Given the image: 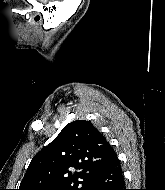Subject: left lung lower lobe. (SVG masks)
I'll return each instance as SVG.
<instances>
[{
  "mask_svg": "<svg viewBox=\"0 0 165 190\" xmlns=\"http://www.w3.org/2000/svg\"><path fill=\"white\" fill-rule=\"evenodd\" d=\"M89 190H125L123 172L117 156L97 173Z\"/></svg>",
  "mask_w": 165,
  "mask_h": 190,
  "instance_id": "0a47b994",
  "label": "left lung lower lobe"
}]
</instances>
